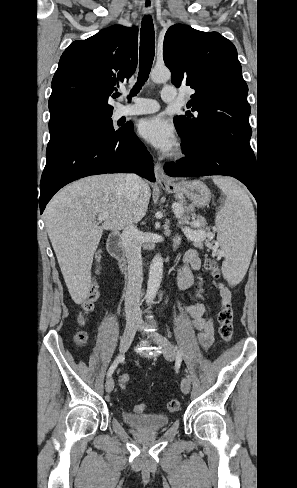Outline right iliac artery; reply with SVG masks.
I'll return each instance as SVG.
<instances>
[{
	"label": "right iliac artery",
	"instance_id": "1",
	"mask_svg": "<svg viewBox=\"0 0 297 488\" xmlns=\"http://www.w3.org/2000/svg\"><path fill=\"white\" fill-rule=\"evenodd\" d=\"M123 359H124V355L123 354L119 355L116 358V360L113 362V364L110 366V368L108 370L107 377H110L113 374V372L115 371L116 367L118 366V363L121 362Z\"/></svg>",
	"mask_w": 297,
	"mask_h": 488
}]
</instances>
